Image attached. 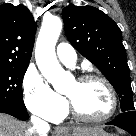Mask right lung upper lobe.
Instances as JSON below:
<instances>
[{"label":"right lung upper lobe","instance_id":"obj_1","mask_svg":"<svg viewBox=\"0 0 136 136\" xmlns=\"http://www.w3.org/2000/svg\"><path fill=\"white\" fill-rule=\"evenodd\" d=\"M36 23L22 5H0V66H28L35 40Z\"/></svg>","mask_w":136,"mask_h":136}]
</instances>
